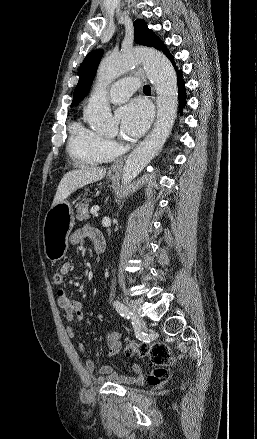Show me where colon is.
Wrapping results in <instances>:
<instances>
[{"label":"colon","instance_id":"colon-1","mask_svg":"<svg viewBox=\"0 0 257 439\" xmlns=\"http://www.w3.org/2000/svg\"><path fill=\"white\" fill-rule=\"evenodd\" d=\"M62 281L63 276L60 273H55L53 276V282L59 285ZM124 351L127 356L138 354L148 358L150 369L147 374V380L150 385L160 386L168 380V366L173 364L174 358L169 348L164 343H128Z\"/></svg>","mask_w":257,"mask_h":439}]
</instances>
